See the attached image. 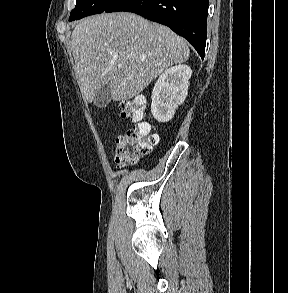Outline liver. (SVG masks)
I'll return each mask as SVG.
<instances>
[{
	"mask_svg": "<svg viewBox=\"0 0 288 293\" xmlns=\"http://www.w3.org/2000/svg\"><path fill=\"white\" fill-rule=\"evenodd\" d=\"M70 48L82 97L89 103L106 84L114 101L131 99L190 55L187 43L168 27L129 12L81 20L72 32Z\"/></svg>",
	"mask_w": 288,
	"mask_h": 293,
	"instance_id": "1",
	"label": "liver"
}]
</instances>
